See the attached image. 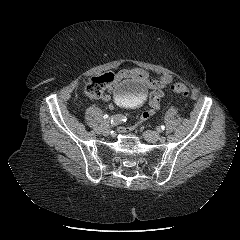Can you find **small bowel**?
Returning <instances> with one entry per match:
<instances>
[{
    "mask_svg": "<svg viewBox=\"0 0 240 240\" xmlns=\"http://www.w3.org/2000/svg\"><path fill=\"white\" fill-rule=\"evenodd\" d=\"M112 81L107 85L108 86V91L112 92L115 84L122 79L125 78H133L138 81L143 82L148 88L152 90V93L150 95L149 99V108L145 110L142 113L141 118L144 120L146 124H149L151 122V119L149 118L155 111H157L160 107V101L163 98V92L162 89L166 87L171 81H172V76L169 74H163L159 78L155 79L152 78L149 73L141 68H131V69H123L119 71L116 74H112ZM110 94L106 93L100 97L102 101H107L110 99ZM108 109L109 110H114L115 109V104L114 103H109L108 104ZM144 126V123L142 121H139L138 123H134L130 129H128L126 132H122L120 134V137L122 139L129 138L131 135H133L138 128H142ZM116 130L118 132H121L123 130V127L121 125H118L116 127Z\"/></svg>",
    "mask_w": 240,
    "mask_h": 240,
    "instance_id": "c3829d8e",
    "label": "small bowel"
}]
</instances>
